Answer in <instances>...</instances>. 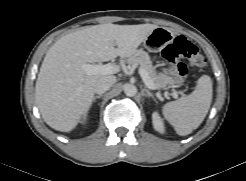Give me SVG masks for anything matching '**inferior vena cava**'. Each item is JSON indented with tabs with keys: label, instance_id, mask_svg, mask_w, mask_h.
<instances>
[{
	"label": "inferior vena cava",
	"instance_id": "obj_1",
	"mask_svg": "<svg viewBox=\"0 0 246 181\" xmlns=\"http://www.w3.org/2000/svg\"><path fill=\"white\" fill-rule=\"evenodd\" d=\"M116 82V77L115 76H104L101 77L96 85H95V93L97 94H103L105 93L107 90L110 89V87Z\"/></svg>",
	"mask_w": 246,
	"mask_h": 181
}]
</instances>
